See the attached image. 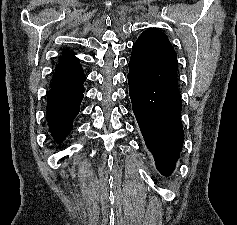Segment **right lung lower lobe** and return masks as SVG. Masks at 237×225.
Listing matches in <instances>:
<instances>
[{
	"mask_svg": "<svg viewBox=\"0 0 237 225\" xmlns=\"http://www.w3.org/2000/svg\"><path fill=\"white\" fill-rule=\"evenodd\" d=\"M83 83L69 87L51 86L47 92L46 118L57 143L62 142L72 130L73 120L80 111L84 97Z\"/></svg>",
	"mask_w": 237,
	"mask_h": 225,
	"instance_id": "right-lung-lower-lobe-1",
	"label": "right lung lower lobe"
}]
</instances>
